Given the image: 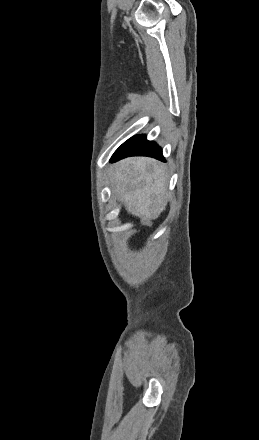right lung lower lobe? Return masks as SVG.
<instances>
[{"instance_id":"obj_1","label":"right lung lower lobe","mask_w":259,"mask_h":440,"mask_svg":"<svg viewBox=\"0 0 259 440\" xmlns=\"http://www.w3.org/2000/svg\"><path fill=\"white\" fill-rule=\"evenodd\" d=\"M128 156H149L165 161L161 148L152 141H147L145 135H136L123 143L113 154L111 162Z\"/></svg>"}]
</instances>
